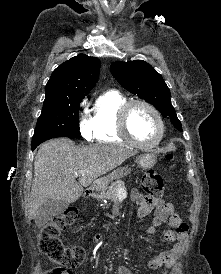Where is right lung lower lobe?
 Wrapping results in <instances>:
<instances>
[{
  "instance_id": "obj_1",
  "label": "right lung lower lobe",
  "mask_w": 221,
  "mask_h": 274,
  "mask_svg": "<svg viewBox=\"0 0 221 274\" xmlns=\"http://www.w3.org/2000/svg\"><path fill=\"white\" fill-rule=\"evenodd\" d=\"M36 147L35 146H32V150H34Z\"/></svg>"
}]
</instances>
